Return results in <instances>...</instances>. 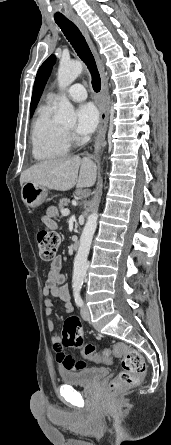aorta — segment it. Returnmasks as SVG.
<instances>
[{
	"instance_id": "762f6f07",
	"label": "aorta",
	"mask_w": 171,
	"mask_h": 445,
	"mask_svg": "<svg viewBox=\"0 0 171 445\" xmlns=\"http://www.w3.org/2000/svg\"><path fill=\"white\" fill-rule=\"evenodd\" d=\"M83 64L81 61L61 62L58 69V86L65 89L81 74ZM56 120L59 123H75L76 115L73 105L65 95L59 100ZM98 214L96 212L89 215L85 227L80 237V245L74 259L73 283L81 285L86 277L88 268L87 258L90 251L93 235L97 228Z\"/></svg>"
}]
</instances>
